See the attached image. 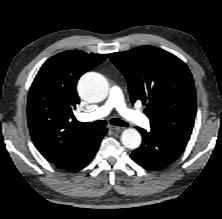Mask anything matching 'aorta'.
<instances>
[{
	"instance_id": "obj_1",
	"label": "aorta",
	"mask_w": 222,
	"mask_h": 219,
	"mask_svg": "<svg viewBox=\"0 0 222 219\" xmlns=\"http://www.w3.org/2000/svg\"><path fill=\"white\" fill-rule=\"evenodd\" d=\"M109 85L99 73L88 72L78 82V92L82 99L89 102L103 101L108 95ZM141 135L134 128L125 129L121 135L122 144L129 149H136L141 144Z\"/></svg>"
}]
</instances>
